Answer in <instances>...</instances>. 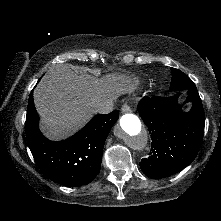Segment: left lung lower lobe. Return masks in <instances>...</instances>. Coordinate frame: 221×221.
<instances>
[{
    "label": "left lung lower lobe",
    "mask_w": 221,
    "mask_h": 221,
    "mask_svg": "<svg viewBox=\"0 0 221 221\" xmlns=\"http://www.w3.org/2000/svg\"><path fill=\"white\" fill-rule=\"evenodd\" d=\"M186 102L192 103L189 112H183L178 98L144 97L138 103V112L151 134L150 157L142 159L140 168L151 178L173 175L188 166L196 157L203 138L205 114L196 86H191Z\"/></svg>",
    "instance_id": "left-lung-lower-lobe-1"
}]
</instances>
